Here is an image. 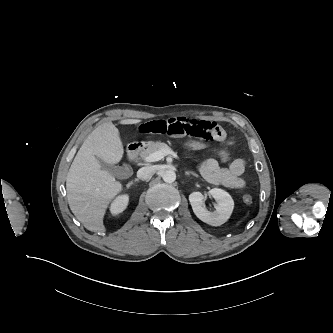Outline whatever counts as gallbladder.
I'll return each mask as SVG.
<instances>
[{"mask_svg": "<svg viewBox=\"0 0 333 333\" xmlns=\"http://www.w3.org/2000/svg\"><path fill=\"white\" fill-rule=\"evenodd\" d=\"M98 160L100 162L101 169L109 172L110 174H112L114 176L119 177L121 172L124 170V167L118 166L116 164L107 163L100 158H98Z\"/></svg>", "mask_w": 333, "mask_h": 333, "instance_id": "bac80fb5", "label": "gallbladder"}]
</instances>
